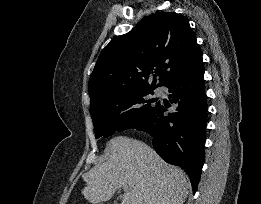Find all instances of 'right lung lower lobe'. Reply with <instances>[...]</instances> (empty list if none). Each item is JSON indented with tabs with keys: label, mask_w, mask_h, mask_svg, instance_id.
I'll use <instances>...</instances> for the list:
<instances>
[{
	"label": "right lung lower lobe",
	"mask_w": 261,
	"mask_h": 204,
	"mask_svg": "<svg viewBox=\"0 0 261 204\" xmlns=\"http://www.w3.org/2000/svg\"><path fill=\"white\" fill-rule=\"evenodd\" d=\"M203 74L201 58L165 85L170 102L177 105L174 112L165 115L169 106L157 102L149 115L132 127L153 137V146L162 159L186 171L193 193L204 164L207 104Z\"/></svg>",
	"instance_id": "obj_1"
}]
</instances>
